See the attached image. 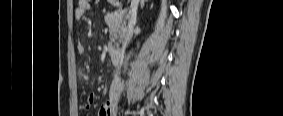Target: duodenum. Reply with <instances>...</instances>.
Segmentation results:
<instances>
[{"instance_id":"obj_1","label":"duodenum","mask_w":283,"mask_h":116,"mask_svg":"<svg viewBox=\"0 0 283 116\" xmlns=\"http://www.w3.org/2000/svg\"><path fill=\"white\" fill-rule=\"evenodd\" d=\"M112 62L115 66H120L123 55L119 50L113 51L111 55ZM121 86V80L119 76H115V78L112 81V89L117 90Z\"/></svg>"}]
</instances>
